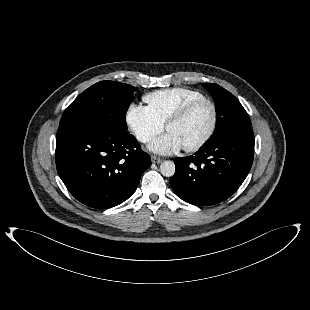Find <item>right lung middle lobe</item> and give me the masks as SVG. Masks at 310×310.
<instances>
[{"mask_svg":"<svg viewBox=\"0 0 310 310\" xmlns=\"http://www.w3.org/2000/svg\"><path fill=\"white\" fill-rule=\"evenodd\" d=\"M134 87L114 81H100L82 92L65 110L59 127L81 124L120 135L129 133L126 112Z\"/></svg>","mask_w":310,"mask_h":310,"instance_id":"dd1d6c3e","label":"right lung middle lobe"}]
</instances>
